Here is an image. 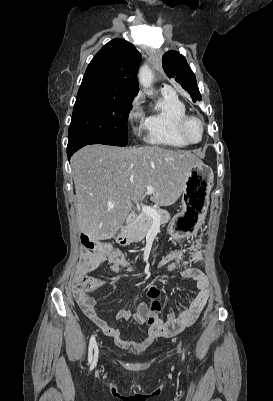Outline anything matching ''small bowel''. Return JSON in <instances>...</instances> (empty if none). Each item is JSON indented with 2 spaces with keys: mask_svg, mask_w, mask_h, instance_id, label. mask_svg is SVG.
<instances>
[{
  "mask_svg": "<svg viewBox=\"0 0 273 401\" xmlns=\"http://www.w3.org/2000/svg\"><path fill=\"white\" fill-rule=\"evenodd\" d=\"M83 245H92L94 248V259L84 260L93 261L94 269L98 264L103 262H106L110 270L114 273L131 269V263L127 259L126 254L117 249L113 244L109 242L93 243L86 241L83 242ZM203 248L204 243L202 239L197 238L189 249H175L160 259L159 265L165 266L169 271H179L184 279L195 281L196 288L193 291L191 300L186 305L169 311L165 317H158L153 324L149 325L147 336L142 342L133 343L123 339L119 328L109 324L100 317L96 309V302L93 303L92 292L95 290L94 285H87L86 290H75L73 297L76 304H79L84 315L105 335L111 337L120 349L133 352L144 351L155 339L173 336L185 327L193 324L206 307L211 294L209 280L199 268L190 265L202 259ZM93 270L89 271L92 272ZM92 278H96L94 281L96 287L104 286L105 281L103 278L94 276ZM147 313V304L141 302L132 310H119L116 318L121 321L145 324Z\"/></svg>",
  "mask_w": 273,
  "mask_h": 401,
  "instance_id": "1",
  "label": "small bowel"
}]
</instances>
